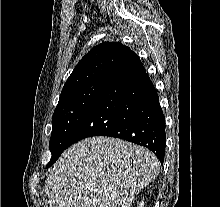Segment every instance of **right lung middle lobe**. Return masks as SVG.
Listing matches in <instances>:
<instances>
[{
    "mask_svg": "<svg viewBox=\"0 0 220 207\" xmlns=\"http://www.w3.org/2000/svg\"><path fill=\"white\" fill-rule=\"evenodd\" d=\"M106 79L95 80L60 95L52 118L49 149L52 154L47 167L53 165L69 147V140L82 122Z\"/></svg>",
    "mask_w": 220,
    "mask_h": 207,
    "instance_id": "dd1d6c3e",
    "label": "right lung middle lobe"
}]
</instances>
